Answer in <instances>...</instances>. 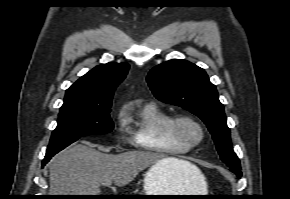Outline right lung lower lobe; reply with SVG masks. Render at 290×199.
I'll return each mask as SVG.
<instances>
[{
    "label": "right lung lower lobe",
    "instance_id": "1",
    "mask_svg": "<svg viewBox=\"0 0 290 199\" xmlns=\"http://www.w3.org/2000/svg\"><path fill=\"white\" fill-rule=\"evenodd\" d=\"M52 158V156H45L42 162V167Z\"/></svg>",
    "mask_w": 290,
    "mask_h": 199
}]
</instances>
